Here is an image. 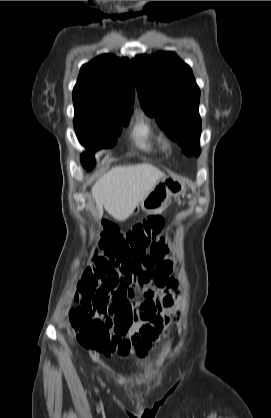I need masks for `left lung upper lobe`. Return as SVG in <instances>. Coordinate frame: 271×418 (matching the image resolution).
<instances>
[{
  "instance_id": "5c2ea615",
  "label": "left lung upper lobe",
  "mask_w": 271,
  "mask_h": 418,
  "mask_svg": "<svg viewBox=\"0 0 271 418\" xmlns=\"http://www.w3.org/2000/svg\"><path fill=\"white\" fill-rule=\"evenodd\" d=\"M141 107L155 116L186 155L200 153V89L190 67L175 53L139 55L131 60Z\"/></svg>"
}]
</instances>
